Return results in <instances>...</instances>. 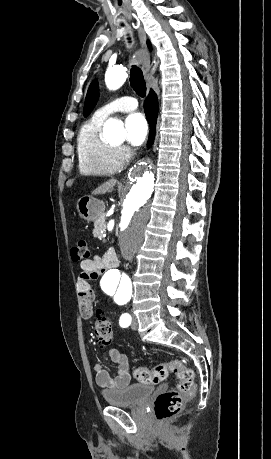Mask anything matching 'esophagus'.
<instances>
[{"label": "esophagus", "mask_w": 271, "mask_h": 459, "mask_svg": "<svg viewBox=\"0 0 271 459\" xmlns=\"http://www.w3.org/2000/svg\"><path fill=\"white\" fill-rule=\"evenodd\" d=\"M135 39L140 42L141 47H144L145 41H146V33L141 25L138 26V28L135 30ZM135 55L137 56V59H138V62H137L138 69H143L144 76L147 77L149 73V69H151L152 67L151 60H143L144 56L142 55V52L140 50H137L135 52ZM148 92H149V86H148Z\"/></svg>", "instance_id": "1"}]
</instances>
